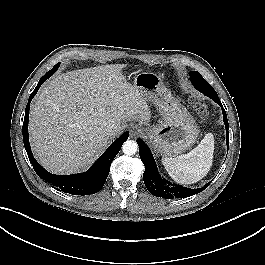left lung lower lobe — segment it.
<instances>
[{"label":"left lung lower lobe","instance_id":"0a47b994","mask_svg":"<svg viewBox=\"0 0 265 265\" xmlns=\"http://www.w3.org/2000/svg\"><path fill=\"white\" fill-rule=\"evenodd\" d=\"M191 82L193 83L194 87L198 91L208 96L209 98L214 100L218 105L222 107L223 120H224V124L226 127L227 147H228L229 146V135H228L229 124H228L226 112L222 106V103L216 91L212 88L211 85L208 84V82L205 79L195 78V79H191ZM137 143L139 146L140 158L145 166V171L143 173L144 184L152 195L162 197L165 199L186 198L194 194H197L199 192H202L210 184L208 183L202 188L191 189V188L183 187L181 185L172 184L168 182L167 180L161 178L157 170V166L154 161L153 155L150 149L148 148V146L141 139H137Z\"/></svg>","mask_w":265,"mask_h":265}]
</instances>
